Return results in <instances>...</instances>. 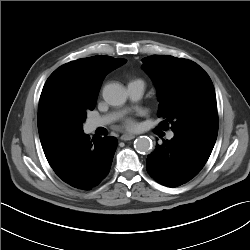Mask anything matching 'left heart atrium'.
I'll use <instances>...</instances> for the list:
<instances>
[{"mask_svg":"<svg viewBox=\"0 0 250 250\" xmlns=\"http://www.w3.org/2000/svg\"><path fill=\"white\" fill-rule=\"evenodd\" d=\"M125 125L129 129H133L135 127V122L132 119H127Z\"/></svg>","mask_w":250,"mask_h":250,"instance_id":"1","label":"left heart atrium"}]
</instances>
